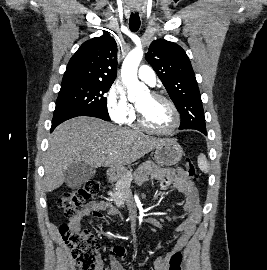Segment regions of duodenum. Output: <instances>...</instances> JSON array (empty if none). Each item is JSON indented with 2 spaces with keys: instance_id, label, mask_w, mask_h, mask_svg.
Segmentation results:
<instances>
[{
  "instance_id": "obj_1",
  "label": "duodenum",
  "mask_w": 267,
  "mask_h": 270,
  "mask_svg": "<svg viewBox=\"0 0 267 270\" xmlns=\"http://www.w3.org/2000/svg\"><path fill=\"white\" fill-rule=\"evenodd\" d=\"M113 175H114L113 170H111V169L107 170V172H106L107 179H111L113 177Z\"/></svg>"
}]
</instances>
